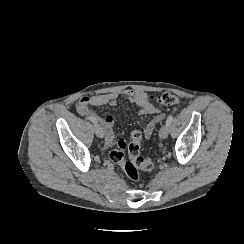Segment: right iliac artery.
<instances>
[{
	"label": "right iliac artery",
	"mask_w": 244,
	"mask_h": 244,
	"mask_svg": "<svg viewBox=\"0 0 244 244\" xmlns=\"http://www.w3.org/2000/svg\"><path fill=\"white\" fill-rule=\"evenodd\" d=\"M89 120L94 123V124H97V119L94 118V117H89Z\"/></svg>",
	"instance_id": "1"
}]
</instances>
